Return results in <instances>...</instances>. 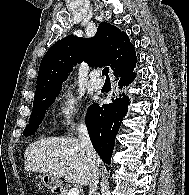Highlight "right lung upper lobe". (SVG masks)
<instances>
[{"label":"right lung upper lobe","mask_w":189,"mask_h":195,"mask_svg":"<svg viewBox=\"0 0 189 195\" xmlns=\"http://www.w3.org/2000/svg\"><path fill=\"white\" fill-rule=\"evenodd\" d=\"M134 46L125 32L102 22L92 38L67 36L56 42L44 55L37 77L34 102L60 93L77 63L85 61L89 66L109 65L113 74L120 78L136 66Z\"/></svg>","instance_id":"right-lung-upper-lobe-1"}]
</instances>
